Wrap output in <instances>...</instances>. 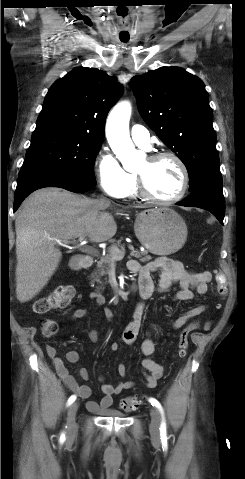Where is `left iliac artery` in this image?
Returning a JSON list of instances; mask_svg holds the SVG:
<instances>
[{
  "instance_id": "44dca946",
  "label": "left iliac artery",
  "mask_w": 245,
  "mask_h": 479,
  "mask_svg": "<svg viewBox=\"0 0 245 479\" xmlns=\"http://www.w3.org/2000/svg\"><path fill=\"white\" fill-rule=\"evenodd\" d=\"M149 402L151 403L152 406H155L160 411V413L162 415V422H161V426H160V435H161L162 441H166L167 440L166 422H165V418H164L163 408H162L161 404L159 403V401L154 399V398H149Z\"/></svg>"
}]
</instances>
